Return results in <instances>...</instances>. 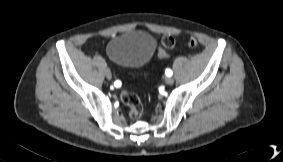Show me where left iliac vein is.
<instances>
[{
    "label": "left iliac vein",
    "instance_id": "left-iliac-vein-1",
    "mask_svg": "<svg viewBox=\"0 0 283 162\" xmlns=\"http://www.w3.org/2000/svg\"><path fill=\"white\" fill-rule=\"evenodd\" d=\"M165 82L169 85L173 84L174 83V79L172 77H166L165 78Z\"/></svg>",
    "mask_w": 283,
    "mask_h": 162
}]
</instances>
